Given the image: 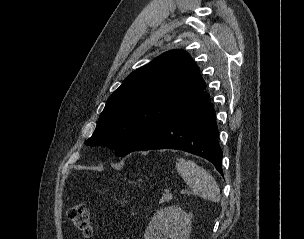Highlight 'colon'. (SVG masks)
Listing matches in <instances>:
<instances>
[{
  "label": "colon",
  "instance_id": "5ec220e1",
  "mask_svg": "<svg viewBox=\"0 0 304 239\" xmlns=\"http://www.w3.org/2000/svg\"><path fill=\"white\" fill-rule=\"evenodd\" d=\"M67 217L71 224L84 236L90 237L94 233V226L87 206L83 202L69 207Z\"/></svg>",
  "mask_w": 304,
  "mask_h": 239
}]
</instances>
